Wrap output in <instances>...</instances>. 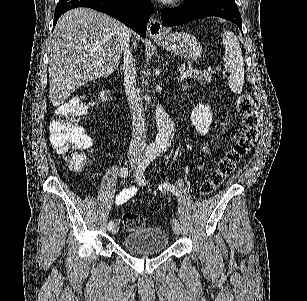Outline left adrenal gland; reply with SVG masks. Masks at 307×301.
<instances>
[{
  "mask_svg": "<svg viewBox=\"0 0 307 301\" xmlns=\"http://www.w3.org/2000/svg\"><path fill=\"white\" fill-rule=\"evenodd\" d=\"M189 84H182V88H188Z\"/></svg>",
  "mask_w": 307,
  "mask_h": 301,
  "instance_id": "left-adrenal-gland-1",
  "label": "left adrenal gland"
}]
</instances>
